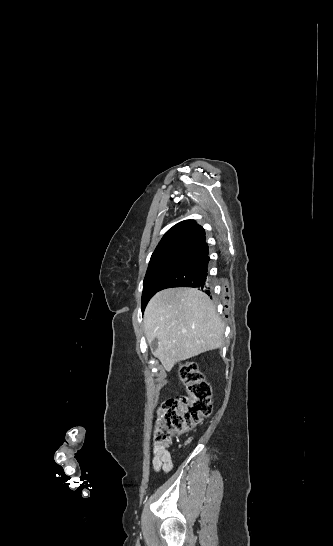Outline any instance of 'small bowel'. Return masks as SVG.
Listing matches in <instances>:
<instances>
[{
    "mask_svg": "<svg viewBox=\"0 0 333 546\" xmlns=\"http://www.w3.org/2000/svg\"><path fill=\"white\" fill-rule=\"evenodd\" d=\"M152 467L154 472L168 473L172 467L171 455L166 447L154 445L152 450Z\"/></svg>",
    "mask_w": 333,
    "mask_h": 546,
    "instance_id": "c3829d8e",
    "label": "small bowel"
}]
</instances>
